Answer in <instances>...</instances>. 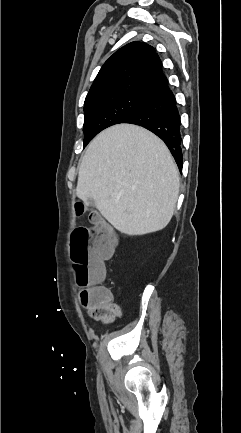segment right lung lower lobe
Returning <instances> with one entry per match:
<instances>
[{"label": "right lung lower lobe", "instance_id": "1", "mask_svg": "<svg viewBox=\"0 0 241 433\" xmlns=\"http://www.w3.org/2000/svg\"><path fill=\"white\" fill-rule=\"evenodd\" d=\"M123 123L142 126L160 137L182 170L180 116L168 83L153 90L144 105Z\"/></svg>", "mask_w": 241, "mask_h": 433}]
</instances>
